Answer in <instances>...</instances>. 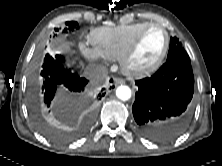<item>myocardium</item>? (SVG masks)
<instances>
[{
    "label": "myocardium",
    "mask_w": 222,
    "mask_h": 166,
    "mask_svg": "<svg viewBox=\"0 0 222 166\" xmlns=\"http://www.w3.org/2000/svg\"><path fill=\"white\" fill-rule=\"evenodd\" d=\"M154 27L162 29L165 34V44H164V47L162 49L160 56L157 58V60L153 64H151L150 66L146 68H141V69L133 68L130 65L131 56L133 55L134 51L136 50L140 40L142 39L146 31ZM169 46H170V34L168 30L160 23H148L135 35V37L128 44V46L126 47V49L124 50V52L122 53L119 59L120 65L122 69L130 75H133V76L148 75L150 73L155 72L162 65L164 59L167 56Z\"/></svg>",
    "instance_id": "1"
}]
</instances>
